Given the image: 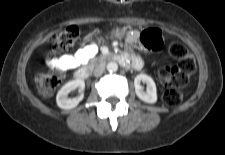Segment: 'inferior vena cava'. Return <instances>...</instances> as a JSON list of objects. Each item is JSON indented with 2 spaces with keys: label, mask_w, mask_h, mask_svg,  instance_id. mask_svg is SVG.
<instances>
[{
  "label": "inferior vena cava",
  "mask_w": 225,
  "mask_h": 155,
  "mask_svg": "<svg viewBox=\"0 0 225 155\" xmlns=\"http://www.w3.org/2000/svg\"><path fill=\"white\" fill-rule=\"evenodd\" d=\"M104 71H105V65L101 63L95 67L93 74L95 77H99L104 73Z\"/></svg>",
  "instance_id": "602c4592"
}]
</instances>
